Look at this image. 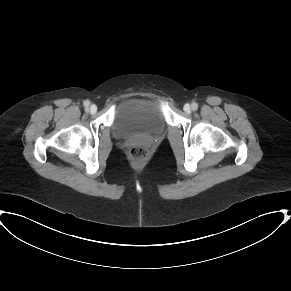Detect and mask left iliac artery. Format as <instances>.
<instances>
[{
	"label": "left iliac artery",
	"instance_id": "1",
	"mask_svg": "<svg viewBox=\"0 0 291 291\" xmlns=\"http://www.w3.org/2000/svg\"><path fill=\"white\" fill-rule=\"evenodd\" d=\"M191 108L193 111H196L198 109V104L197 103H192Z\"/></svg>",
	"mask_w": 291,
	"mask_h": 291
}]
</instances>
